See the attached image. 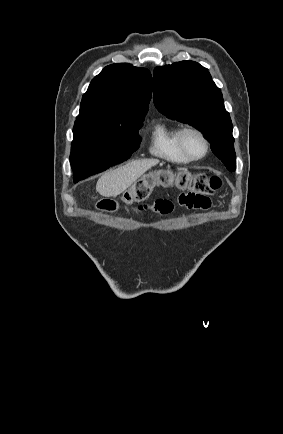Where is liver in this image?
<instances>
[{"label": "liver", "instance_id": "obj_1", "mask_svg": "<svg viewBox=\"0 0 283 434\" xmlns=\"http://www.w3.org/2000/svg\"><path fill=\"white\" fill-rule=\"evenodd\" d=\"M158 163L157 159H142L129 162L122 167L103 174L97 182L96 190L104 197H116Z\"/></svg>", "mask_w": 283, "mask_h": 434}]
</instances>
